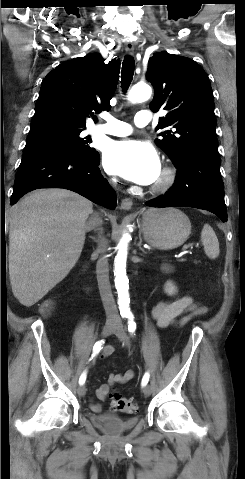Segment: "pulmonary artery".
<instances>
[{"label":"pulmonary artery","mask_w":245,"mask_h":479,"mask_svg":"<svg viewBox=\"0 0 245 479\" xmlns=\"http://www.w3.org/2000/svg\"><path fill=\"white\" fill-rule=\"evenodd\" d=\"M151 114L147 110H142L136 113L134 117V123L138 127H143L151 122ZM106 123L98 125L94 128V131L101 132L113 136H126L132 132L130 124L117 120L113 117L106 116Z\"/></svg>","instance_id":"e3ab8cb5"}]
</instances>
